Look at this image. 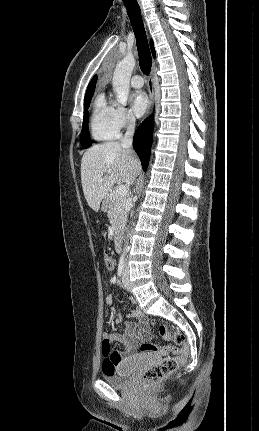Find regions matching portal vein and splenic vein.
<instances>
[{"instance_id":"obj_1","label":"portal vein and splenic vein","mask_w":259,"mask_h":431,"mask_svg":"<svg viewBox=\"0 0 259 431\" xmlns=\"http://www.w3.org/2000/svg\"><path fill=\"white\" fill-rule=\"evenodd\" d=\"M110 173H111V172L109 171V172H108V174H110ZM116 193H117V195H118V196H120V197H124V196H126V195H127V193H128L126 186H124V185H120V186H118V188L116 189Z\"/></svg>"}]
</instances>
